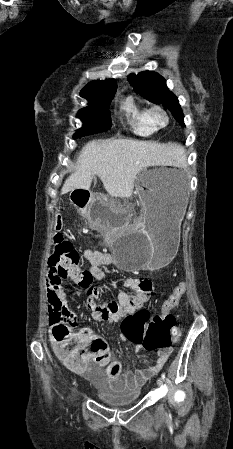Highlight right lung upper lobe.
Returning a JSON list of instances; mask_svg holds the SVG:
<instances>
[{
  "instance_id": "obj_1",
  "label": "right lung upper lobe",
  "mask_w": 233,
  "mask_h": 449,
  "mask_svg": "<svg viewBox=\"0 0 233 449\" xmlns=\"http://www.w3.org/2000/svg\"><path fill=\"white\" fill-rule=\"evenodd\" d=\"M117 89L116 81L108 79L104 81L95 80L88 83L80 92V96L85 99L106 97L115 94Z\"/></svg>"
}]
</instances>
